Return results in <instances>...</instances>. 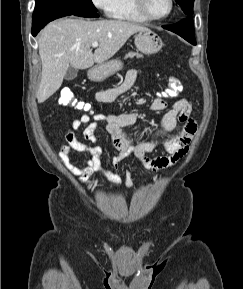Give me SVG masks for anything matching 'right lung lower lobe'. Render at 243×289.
Here are the masks:
<instances>
[{"instance_id": "obj_1", "label": "right lung lower lobe", "mask_w": 243, "mask_h": 289, "mask_svg": "<svg viewBox=\"0 0 243 289\" xmlns=\"http://www.w3.org/2000/svg\"><path fill=\"white\" fill-rule=\"evenodd\" d=\"M69 15H76L80 17H99L96 11L75 10L71 8H38L35 7L32 20V35L36 36L37 33L50 21Z\"/></svg>"}]
</instances>
